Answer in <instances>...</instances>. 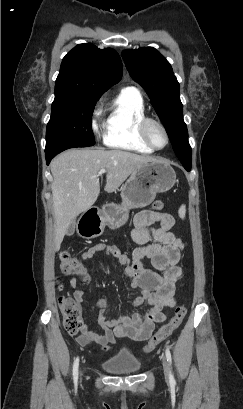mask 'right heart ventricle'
I'll use <instances>...</instances> for the list:
<instances>
[{
    "label": "right heart ventricle",
    "instance_id": "right-heart-ventricle-1",
    "mask_svg": "<svg viewBox=\"0 0 243 409\" xmlns=\"http://www.w3.org/2000/svg\"><path fill=\"white\" fill-rule=\"evenodd\" d=\"M108 125L104 142L109 147L149 154V147L140 134V121L146 117L140 92L127 87L108 104Z\"/></svg>",
    "mask_w": 243,
    "mask_h": 409
}]
</instances>
